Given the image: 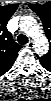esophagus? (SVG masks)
Masks as SVG:
<instances>
[{"label": "esophagus", "instance_id": "esophagus-1", "mask_svg": "<svg viewBox=\"0 0 51 101\" xmlns=\"http://www.w3.org/2000/svg\"><path fill=\"white\" fill-rule=\"evenodd\" d=\"M28 48H33L34 47V42L29 41V43L26 45Z\"/></svg>", "mask_w": 51, "mask_h": 101}]
</instances>
